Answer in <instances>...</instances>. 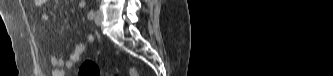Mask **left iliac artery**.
I'll list each match as a JSON object with an SVG mask.
<instances>
[{"instance_id": "1", "label": "left iliac artery", "mask_w": 333, "mask_h": 76, "mask_svg": "<svg viewBox=\"0 0 333 76\" xmlns=\"http://www.w3.org/2000/svg\"><path fill=\"white\" fill-rule=\"evenodd\" d=\"M95 16V11L93 9H91L89 12H88V19H93Z\"/></svg>"}]
</instances>
